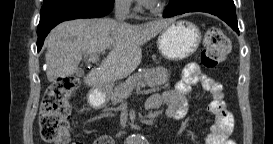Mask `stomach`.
I'll list each match as a JSON object with an SVG mask.
<instances>
[{
  "label": "stomach",
  "instance_id": "stomach-1",
  "mask_svg": "<svg viewBox=\"0 0 273 144\" xmlns=\"http://www.w3.org/2000/svg\"><path fill=\"white\" fill-rule=\"evenodd\" d=\"M200 42L199 28L189 21L180 20L162 30L157 46L166 59L180 61L192 55L198 49ZM110 97V90H93L87 100L91 107L100 109L106 106Z\"/></svg>",
  "mask_w": 273,
  "mask_h": 144
}]
</instances>
